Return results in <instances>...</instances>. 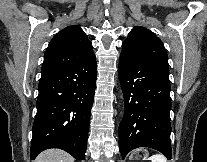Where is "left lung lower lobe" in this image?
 Wrapping results in <instances>:
<instances>
[{
    "mask_svg": "<svg viewBox=\"0 0 207 162\" xmlns=\"http://www.w3.org/2000/svg\"><path fill=\"white\" fill-rule=\"evenodd\" d=\"M118 76L125 104L119 126L122 158L135 148L148 147L170 160L169 73L120 57Z\"/></svg>",
    "mask_w": 207,
    "mask_h": 162,
    "instance_id": "0a47b994",
    "label": "left lung lower lobe"
}]
</instances>
